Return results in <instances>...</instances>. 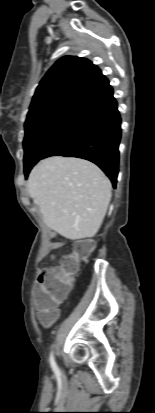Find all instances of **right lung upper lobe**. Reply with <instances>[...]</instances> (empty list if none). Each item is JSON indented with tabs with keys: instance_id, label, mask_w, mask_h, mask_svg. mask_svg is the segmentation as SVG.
<instances>
[{
	"instance_id": "1",
	"label": "right lung upper lobe",
	"mask_w": 155,
	"mask_h": 413,
	"mask_svg": "<svg viewBox=\"0 0 155 413\" xmlns=\"http://www.w3.org/2000/svg\"><path fill=\"white\" fill-rule=\"evenodd\" d=\"M108 84L107 78L91 61L74 56L62 57L37 87L25 124L58 107L79 105Z\"/></svg>"
}]
</instances>
